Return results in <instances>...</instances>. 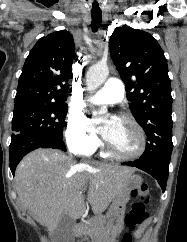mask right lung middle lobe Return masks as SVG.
<instances>
[{"mask_svg":"<svg viewBox=\"0 0 187 242\" xmlns=\"http://www.w3.org/2000/svg\"><path fill=\"white\" fill-rule=\"evenodd\" d=\"M68 107L64 104H26L14 108L12 131L63 138Z\"/></svg>","mask_w":187,"mask_h":242,"instance_id":"right-lung-middle-lobe-1","label":"right lung middle lobe"}]
</instances>
